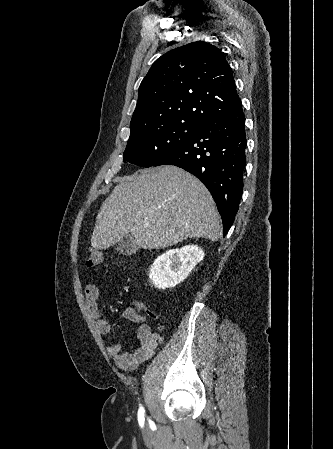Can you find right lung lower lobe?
Masks as SVG:
<instances>
[{
  "mask_svg": "<svg viewBox=\"0 0 333 449\" xmlns=\"http://www.w3.org/2000/svg\"><path fill=\"white\" fill-rule=\"evenodd\" d=\"M245 150V116L239 101L203 122L191 138L156 166H178L204 183L217 204L225 236L239 208Z\"/></svg>",
  "mask_w": 333,
  "mask_h": 449,
  "instance_id": "obj_1",
  "label": "right lung lower lobe"
}]
</instances>
